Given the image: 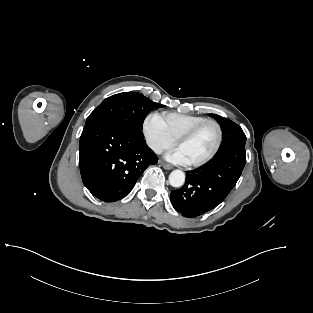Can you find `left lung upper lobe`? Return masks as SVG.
<instances>
[{
  "label": "left lung upper lobe",
  "mask_w": 313,
  "mask_h": 313,
  "mask_svg": "<svg viewBox=\"0 0 313 313\" xmlns=\"http://www.w3.org/2000/svg\"><path fill=\"white\" fill-rule=\"evenodd\" d=\"M209 116L215 118L220 123L223 131V140L217 153L233 146H245L246 136L239 125L219 115L209 114Z\"/></svg>",
  "instance_id": "1"
}]
</instances>
